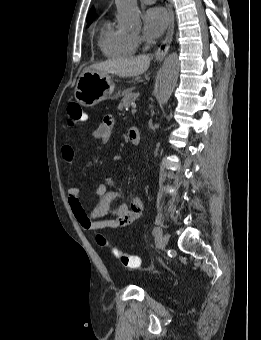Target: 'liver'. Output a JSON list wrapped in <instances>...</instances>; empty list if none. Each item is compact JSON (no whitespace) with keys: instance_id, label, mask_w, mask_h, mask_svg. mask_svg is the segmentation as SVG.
I'll return each instance as SVG.
<instances>
[{"instance_id":"6515ba94","label":"liver","mask_w":261,"mask_h":340,"mask_svg":"<svg viewBox=\"0 0 261 340\" xmlns=\"http://www.w3.org/2000/svg\"><path fill=\"white\" fill-rule=\"evenodd\" d=\"M149 65L150 57L148 55H140L132 58L109 59L93 64L86 70L115 74L120 77H134L145 73Z\"/></svg>"}]
</instances>
